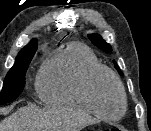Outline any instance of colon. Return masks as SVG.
Returning <instances> with one entry per match:
<instances>
[{"label": "colon", "instance_id": "obj_1", "mask_svg": "<svg viewBox=\"0 0 151 131\" xmlns=\"http://www.w3.org/2000/svg\"><path fill=\"white\" fill-rule=\"evenodd\" d=\"M100 131H125V130L119 127H111V128L102 129Z\"/></svg>", "mask_w": 151, "mask_h": 131}]
</instances>
